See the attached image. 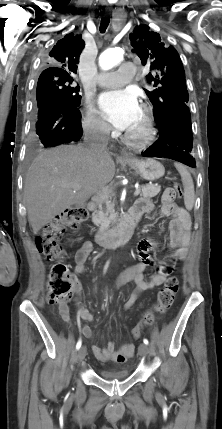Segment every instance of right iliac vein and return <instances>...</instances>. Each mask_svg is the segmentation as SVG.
Masks as SVG:
<instances>
[{"instance_id":"obj_1","label":"right iliac vein","mask_w":222,"mask_h":429,"mask_svg":"<svg viewBox=\"0 0 222 429\" xmlns=\"http://www.w3.org/2000/svg\"><path fill=\"white\" fill-rule=\"evenodd\" d=\"M85 356H86V347L83 346L78 350V353H77L78 362H82Z\"/></svg>"}]
</instances>
